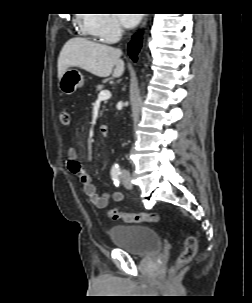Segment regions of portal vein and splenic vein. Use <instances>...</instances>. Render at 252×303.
<instances>
[{
	"label": "portal vein and splenic vein",
	"mask_w": 252,
	"mask_h": 303,
	"mask_svg": "<svg viewBox=\"0 0 252 303\" xmlns=\"http://www.w3.org/2000/svg\"><path fill=\"white\" fill-rule=\"evenodd\" d=\"M111 97V92L109 90H102L99 95L98 99L99 100H108Z\"/></svg>",
	"instance_id": "18ae733b"
}]
</instances>
